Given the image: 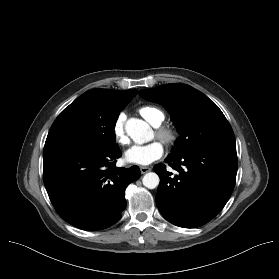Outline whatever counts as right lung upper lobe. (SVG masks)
<instances>
[{"label":"right lung upper lobe","instance_id":"cb5924a9","mask_svg":"<svg viewBox=\"0 0 279 279\" xmlns=\"http://www.w3.org/2000/svg\"><path fill=\"white\" fill-rule=\"evenodd\" d=\"M96 103L101 105H123L128 104L130 100L136 96L137 90L117 91L106 89H93L84 93Z\"/></svg>","mask_w":279,"mask_h":279}]
</instances>
